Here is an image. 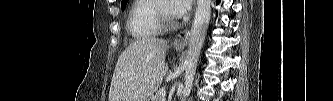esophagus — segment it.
<instances>
[{
	"label": "esophagus",
	"instance_id": "34e87169",
	"mask_svg": "<svg viewBox=\"0 0 333 101\" xmlns=\"http://www.w3.org/2000/svg\"><path fill=\"white\" fill-rule=\"evenodd\" d=\"M189 37V31H182L175 37L173 43L176 47H185L188 43Z\"/></svg>",
	"mask_w": 333,
	"mask_h": 101
}]
</instances>
